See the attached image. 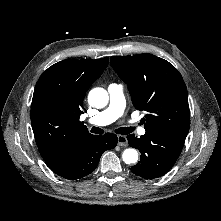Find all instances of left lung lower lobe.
<instances>
[{
    "mask_svg": "<svg viewBox=\"0 0 221 221\" xmlns=\"http://www.w3.org/2000/svg\"><path fill=\"white\" fill-rule=\"evenodd\" d=\"M127 139L129 145L141 153L140 162L131 171L145 179L166 174L175 164L185 141L184 137L147 131L140 138L130 134Z\"/></svg>",
    "mask_w": 221,
    "mask_h": 221,
    "instance_id": "1",
    "label": "left lung lower lobe"
}]
</instances>
